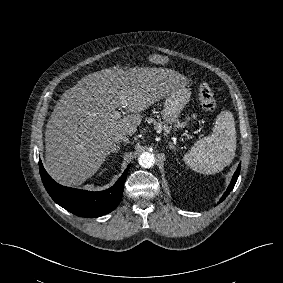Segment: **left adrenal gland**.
<instances>
[{
    "label": "left adrenal gland",
    "instance_id": "obj_1",
    "mask_svg": "<svg viewBox=\"0 0 283 283\" xmlns=\"http://www.w3.org/2000/svg\"><path fill=\"white\" fill-rule=\"evenodd\" d=\"M168 147H169V149H171V150H176V147L174 146V144L172 143V142H168Z\"/></svg>",
    "mask_w": 283,
    "mask_h": 283
}]
</instances>
